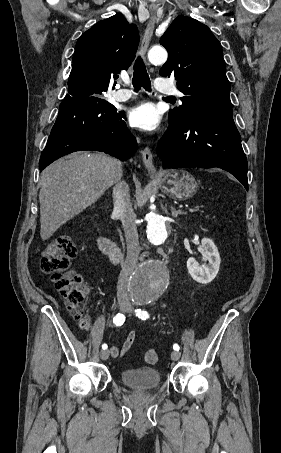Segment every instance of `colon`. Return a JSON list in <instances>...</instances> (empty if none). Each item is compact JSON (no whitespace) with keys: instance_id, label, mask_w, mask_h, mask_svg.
<instances>
[{"instance_id":"colon-1","label":"colon","mask_w":281,"mask_h":453,"mask_svg":"<svg viewBox=\"0 0 281 453\" xmlns=\"http://www.w3.org/2000/svg\"><path fill=\"white\" fill-rule=\"evenodd\" d=\"M81 255V249L70 238H55L44 245L42 269L53 275L61 295L69 307L84 315L87 311L85 297L88 287L81 277L70 268V259ZM142 360L146 363H159L160 355L156 350L143 349Z\"/></svg>"}]
</instances>
